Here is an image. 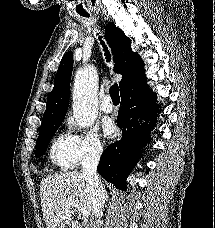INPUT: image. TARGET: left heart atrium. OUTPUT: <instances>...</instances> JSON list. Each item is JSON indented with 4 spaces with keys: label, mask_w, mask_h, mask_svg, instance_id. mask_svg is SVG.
<instances>
[{
    "label": "left heart atrium",
    "mask_w": 215,
    "mask_h": 228,
    "mask_svg": "<svg viewBox=\"0 0 215 228\" xmlns=\"http://www.w3.org/2000/svg\"><path fill=\"white\" fill-rule=\"evenodd\" d=\"M104 131L108 137H114L118 132L117 127L111 121L104 125Z\"/></svg>",
    "instance_id": "1"
}]
</instances>
